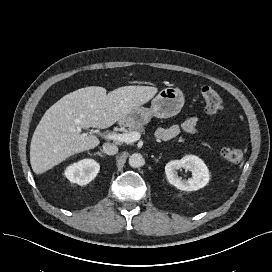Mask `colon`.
<instances>
[{
  "label": "colon",
  "instance_id": "5ec220e1",
  "mask_svg": "<svg viewBox=\"0 0 272 272\" xmlns=\"http://www.w3.org/2000/svg\"><path fill=\"white\" fill-rule=\"evenodd\" d=\"M201 96L207 115L214 116L223 110L224 105L222 99L214 88L210 86L203 87L201 89ZM221 155L230 163H240L244 158V154L241 150L231 147H223L221 149Z\"/></svg>",
  "mask_w": 272,
  "mask_h": 272
}]
</instances>
